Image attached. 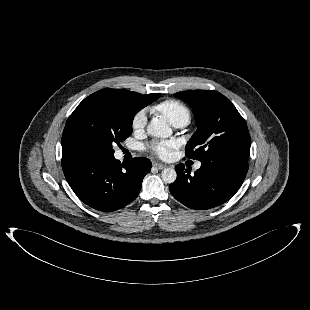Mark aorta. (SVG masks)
Segmentation results:
<instances>
[{
    "label": "aorta",
    "instance_id": "obj_1",
    "mask_svg": "<svg viewBox=\"0 0 310 310\" xmlns=\"http://www.w3.org/2000/svg\"><path fill=\"white\" fill-rule=\"evenodd\" d=\"M147 133L153 137L168 138L172 135V129L162 118H153L148 126ZM162 180L165 183H173L177 178V173L173 168H165L161 173Z\"/></svg>",
    "mask_w": 310,
    "mask_h": 310
}]
</instances>
